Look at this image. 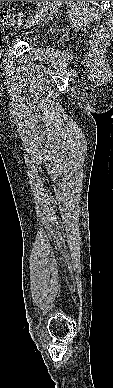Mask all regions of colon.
Here are the masks:
<instances>
[{
    "label": "colon",
    "mask_w": 113,
    "mask_h": 388,
    "mask_svg": "<svg viewBox=\"0 0 113 388\" xmlns=\"http://www.w3.org/2000/svg\"><path fill=\"white\" fill-rule=\"evenodd\" d=\"M21 21V15L12 11H5L3 16L0 18V22L6 25L17 24Z\"/></svg>",
    "instance_id": "colon-1"
}]
</instances>
